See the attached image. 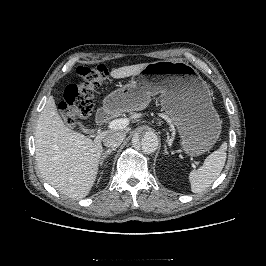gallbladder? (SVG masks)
Listing matches in <instances>:
<instances>
[{"label": "gallbladder", "instance_id": "gallbladder-1", "mask_svg": "<svg viewBox=\"0 0 266 266\" xmlns=\"http://www.w3.org/2000/svg\"><path fill=\"white\" fill-rule=\"evenodd\" d=\"M83 132H87V130L85 128H82Z\"/></svg>", "mask_w": 266, "mask_h": 266}]
</instances>
